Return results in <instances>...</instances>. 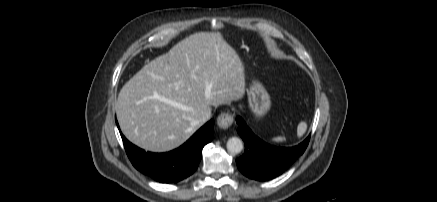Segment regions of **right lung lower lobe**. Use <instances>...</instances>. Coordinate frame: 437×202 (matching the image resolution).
Returning a JSON list of instances; mask_svg holds the SVG:
<instances>
[{
  "label": "right lung lower lobe",
  "mask_w": 437,
  "mask_h": 202,
  "mask_svg": "<svg viewBox=\"0 0 437 202\" xmlns=\"http://www.w3.org/2000/svg\"><path fill=\"white\" fill-rule=\"evenodd\" d=\"M213 125L214 120H210L182 146L167 153L145 152L130 143L121 131L120 134L126 153L137 170L161 183H177L198 168L203 147L213 139Z\"/></svg>",
  "instance_id": "obj_1"
}]
</instances>
